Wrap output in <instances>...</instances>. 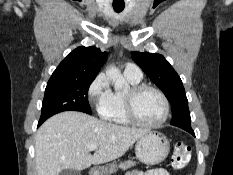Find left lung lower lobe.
Listing matches in <instances>:
<instances>
[{"label": "left lung lower lobe", "mask_w": 233, "mask_h": 175, "mask_svg": "<svg viewBox=\"0 0 233 175\" xmlns=\"http://www.w3.org/2000/svg\"><path fill=\"white\" fill-rule=\"evenodd\" d=\"M187 132L195 136L194 131L192 129L187 130Z\"/></svg>", "instance_id": "obj_1"}]
</instances>
